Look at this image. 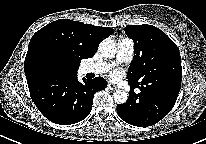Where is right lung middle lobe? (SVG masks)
I'll return each instance as SVG.
<instances>
[{"label":"right lung middle lobe","instance_id":"obj_1","mask_svg":"<svg viewBox=\"0 0 206 144\" xmlns=\"http://www.w3.org/2000/svg\"><path fill=\"white\" fill-rule=\"evenodd\" d=\"M37 68L40 72L46 75H57L61 71V62L51 56H45L38 60Z\"/></svg>","mask_w":206,"mask_h":144}]
</instances>
